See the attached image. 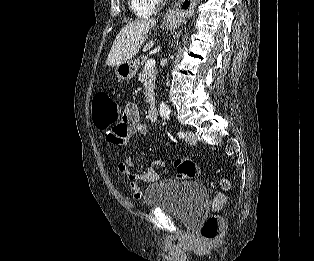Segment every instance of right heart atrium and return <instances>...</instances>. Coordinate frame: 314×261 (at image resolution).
Returning <instances> with one entry per match:
<instances>
[{
    "mask_svg": "<svg viewBox=\"0 0 314 261\" xmlns=\"http://www.w3.org/2000/svg\"><path fill=\"white\" fill-rule=\"evenodd\" d=\"M162 0H153L154 4L156 5V7L161 3Z\"/></svg>",
    "mask_w": 314,
    "mask_h": 261,
    "instance_id": "right-heart-atrium-1",
    "label": "right heart atrium"
}]
</instances>
